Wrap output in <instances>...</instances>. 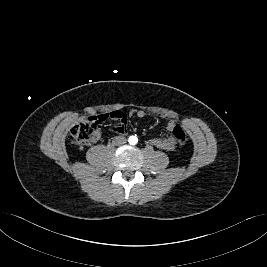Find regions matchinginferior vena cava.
Here are the masks:
<instances>
[{
	"label": "inferior vena cava",
	"instance_id": "inferior-vena-cava-1",
	"mask_svg": "<svg viewBox=\"0 0 267 267\" xmlns=\"http://www.w3.org/2000/svg\"><path fill=\"white\" fill-rule=\"evenodd\" d=\"M116 139V141H117V144H119V145H122V144H125L126 143V138L125 137H116L115 138Z\"/></svg>",
	"mask_w": 267,
	"mask_h": 267
}]
</instances>
